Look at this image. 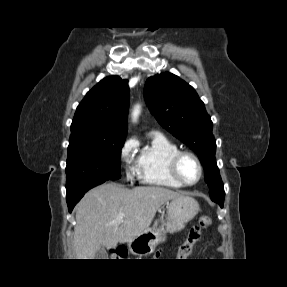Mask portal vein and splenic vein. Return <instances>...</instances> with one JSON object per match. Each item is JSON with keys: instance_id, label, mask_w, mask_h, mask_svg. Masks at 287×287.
Returning <instances> with one entry per match:
<instances>
[{"instance_id": "18ae733b", "label": "portal vein and splenic vein", "mask_w": 287, "mask_h": 287, "mask_svg": "<svg viewBox=\"0 0 287 287\" xmlns=\"http://www.w3.org/2000/svg\"><path fill=\"white\" fill-rule=\"evenodd\" d=\"M125 214L124 213H120L117 218H116V222H122L123 221V218H124Z\"/></svg>"}]
</instances>
